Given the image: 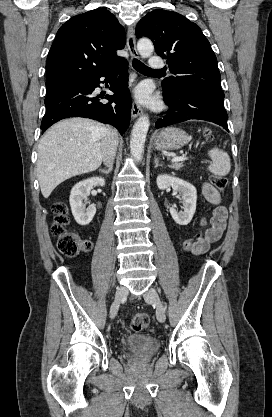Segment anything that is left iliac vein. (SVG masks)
Listing matches in <instances>:
<instances>
[{
  "mask_svg": "<svg viewBox=\"0 0 272 417\" xmlns=\"http://www.w3.org/2000/svg\"><path fill=\"white\" fill-rule=\"evenodd\" d=\"M144 299L147 303H150L156 306L157 320L161 323L165 322L166 320L165 309L163 307V304L159 298L157 291L154 288L150 287L145 292Z\"/></svg>",
  "mask_w": 272,
  "mask_h": 417,
  "instance_id": "left-iliac-vein-1",
  "label": "left iliac vein"
}]
</instances>
